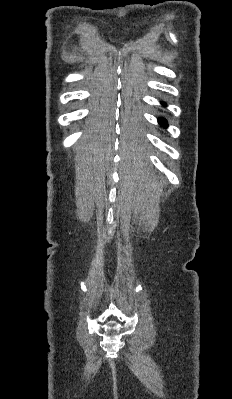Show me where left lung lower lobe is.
Returning <instances> with one entry per match:
<instances>
[{
	"label": "left lung lower lobe",
	"mask_w": 232,
	"mask_h": 399,
	"mask_svg": "<svg viewBox=\"0 0 232 399\" xmlns=\"http://www.w3.org/2000/svg\"><path fill=\"white\" fill-rule=\"evenodd\" d=\"M163 105H165V104L163 103ZM158 122H159L160 125L163 126V127H166V126H167V121H166L165 119H163V118H159V121H158Z\"/></svg>",
	"instance_id": "obj_1"
}]
</instances>
